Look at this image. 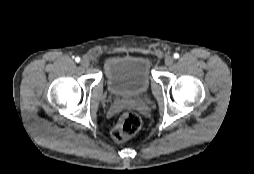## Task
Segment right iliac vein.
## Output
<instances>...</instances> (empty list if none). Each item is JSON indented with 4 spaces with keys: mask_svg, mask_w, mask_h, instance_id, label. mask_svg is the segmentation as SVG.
I'll use <instances>...</instances> for the list:
<instances>
[{
    "mask_svg": "<svg viewBox=\"0 0 254 174\" xmlns=\"http://www.w3.org/2000/svg\"><path fill=\"white\" fill-rule=\"evenodd\" d=\"M80 64H81L82 67L87 68V67L89 66L90 62H89L88 59H85V58H84V59H82V60L80 61Z\"/></svg>",
    "mask_w": 254,
    "mask_h": 174,
    "instance_id": "1",
    "label": "right iliac vein"
}]
</instances>
